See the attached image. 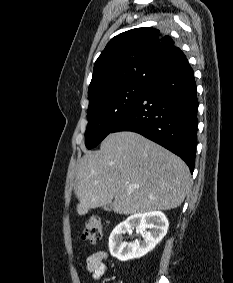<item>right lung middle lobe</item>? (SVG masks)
<instances>
[{
  "mask_svg": "<svg viewBox=\"0 0 233 283\" xmlns=\"http://www.w3.org/2000/svg\"><path fill=\"white\" fill-rule=\"evenodd\" d=\"M148 84L134 83L109 91L89 103L85 132L87 148L97 146L127 115Z\"/></svg>",
  "mask_w": 233,
  "mask_h": 283,
  "instance_id": "right-lung-middle-lobe-1",
  "label": "right lung middle lobe"
}]
</instances>
